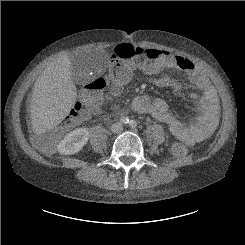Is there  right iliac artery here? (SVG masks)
<instances>
[{"instance_id":"1","label":"right iliac artery","mask_w":245,"mask_h":245,"mask_svg":"<svg viewBox=\"0 0 245 245\" xmlns=\"http://www.w3.org/2000/svg\"><path fill=\"white\" fill-rule=\"evenodd\" d=\"M120 121H121V123H123V124H127V123H129V118L126 117V116H123V117H121Z\"/></svg>"}]
</instances>
